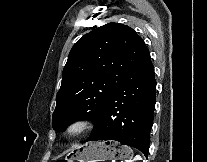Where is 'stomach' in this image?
I'll return each instance as SVG.
<instances>
[{"mask_svg":"<svg viewBox=\"0 0 207 162\" xmlns=\"http://www.w3.org/2000/svg\"><path fill=\"white\" fill-rule=\"evenodd\" d=\"M132 157V150L128 146L117 142H90L77 149L65 160L78 162H104L107 160H123Z\"/></svg>","mask_w":207,"mask_h":162,"instance_id":"0dacf381","label":"stomach"}]
</instances>
